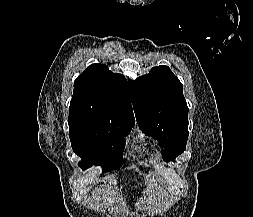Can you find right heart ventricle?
I'll list each match as a JSON object with an SVG mask.
<instances>
[{"label":"right heart ventricle","instance_id":"obj_1","mask_svg":"<svg viewBox=\"0 0 253 217\" xmlns=\"http://www.w3.org/2000/svg\"><path fill=\"white\" fill-rule=\"evenodd\" d=\"M152 145L144 138L143 136L139 135L136 138V149L141 152H148L151 149Z\"/></svg>","mask_w":253,"mask_h":217}]
</instances>
